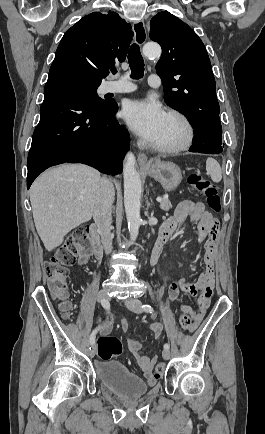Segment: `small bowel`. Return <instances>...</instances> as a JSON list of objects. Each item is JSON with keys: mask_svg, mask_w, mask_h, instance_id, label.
I'll return each instance as SVG.
<instances>
[{"mask_svg": "<svg viewBox=\"0 0 265 434\" xmlns=\"http://www.w3.org/2000/svg\"><path fill=\"white\" fill-rule=\"evenodd\" d=\"M186 221L197 224L199 240L207 237L206 252L203 256L205 267L199 280L195 284H188L184 279L171 282L168 287V299L170 302H174L178 299L181 293H187L197 297V311L193 310L188 305L180 306V311L189 314L192 319V327L189 329V331L192 332L199 326L205 317L211 302L212 289L215 283L213 266L214 243L219 229V221L205 208L203 203L183 201L177 206L174 214L161 226L158 242H162L164 245L169 237L172 236ZM210 228H213V232L207 234V231ZM66 306L68 307V305ZM162 327V324L159 322H156L151 326L155 339L160 337ZM121 330L123 333H127L128 331V324L125 319L122 320ZM126 344L129 350L136 355L138 362L144 371V376L148 385L153 386L156 380L151 369L153 368L155 359L141 355L140 350L142 348V343L140 341L127 337Z\"/></svg>", "mask_w": 265, "mask_h": 434, "instance_id": "c3829d8e", "label": "small bowel"}]
</instances>
